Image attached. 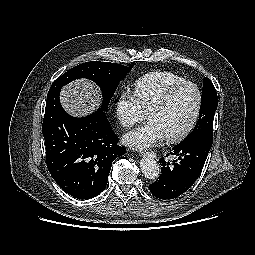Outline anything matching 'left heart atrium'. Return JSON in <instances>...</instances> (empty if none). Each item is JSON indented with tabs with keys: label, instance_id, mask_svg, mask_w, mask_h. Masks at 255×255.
<instances>
[{
	"label": "left heart atrium",
	"instance_id": "1",
	"mask_svg": "<svg viewBox=\"0 0 255 255\" xmlns=\"http://www.w3.org/2000/svg\"><path fill=\"white\" fill-rule=\"evenodd\" d=\"M165 138L161 127L153 121L127 132L123 136V143L136 150H145L160 144Z\"/></svg>",
	"mask_w": 255,
	"mask_h": 255
}]
</instances>
